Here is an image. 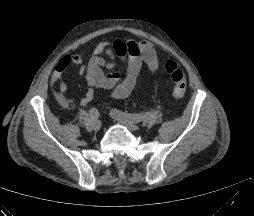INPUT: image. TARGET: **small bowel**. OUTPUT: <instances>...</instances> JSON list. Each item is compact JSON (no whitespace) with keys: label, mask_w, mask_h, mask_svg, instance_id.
Returning a JSON list of instances; mask_svg holds the SVG:
<instances>
[{"label":"small bowel","mask_w":254,"mask_h":216,"mask_svg":"<svg viewBox=\"0 0 254 216\" xmlns=\"http://www.w3.org/2000/svg\"><path fill=\"white\" fill-rule=\"evenodd\" d=\"M116 60L127 62L124 75L115 69ZM83 62L79 54L64 56L52 74V83L56 86L54 93L57 101L68 107L69 100L65 97L68 91L66 82L61 81L66 70ZM146 65L150 74H155L159 68V57L154 46L148 41H134L131 39H115L99 42L87 64L80 69V74L85 77L87 90L81 98L80 104L85 106L94 98V88L108 91L112 99H124L135 88L141 68Z\"/></svg>","instance_id":"small-bowel-1"}]
</instances>
